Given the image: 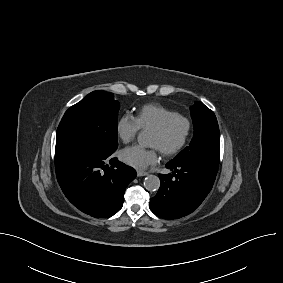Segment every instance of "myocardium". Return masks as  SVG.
Returning <instances> with one entry per match:
<instances>
[{
	"label": "myocardium",
	"instance_id": "1",
	"mask_svg": "<svg viewBox=\"0 0 283 283\" xmlns=\"http://www.w3.org/2000/svg\"><path fill=\"white\" fill-rule=\"evenodd\" d=\"M177 121H181L185 124V133H184L181 141L176 146H174L171 149L161 151L165 156H174V155L178 154L179 152H181L183 150V148L186 146V144H187V142L190 138L191 132H192V122L185 115L175 114V115H172V116L168 117L167 119H165L156 128L152 129L153 132H155L159 135H164L169 130V128Z\"/></svg>",
	"mask_w": 283,
	"mask_h": 283
}]
</instances>
